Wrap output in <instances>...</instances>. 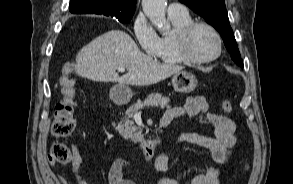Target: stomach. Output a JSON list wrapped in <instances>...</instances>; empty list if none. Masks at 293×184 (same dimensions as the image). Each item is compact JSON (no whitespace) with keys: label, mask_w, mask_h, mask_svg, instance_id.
Wrapping results in <instances>:
<instances>
[{"label":"stomach","mask_w":293,"mask_h":184,"mask_svg":"<svg viewBox=\"0 0 293 184\" xmlns=\"http://www.w3.org/2000/svg\"><path fill=\"white\" fill-rule=\"evenodd\" d=\"M198 81L190 72L180 71L172 77V85L176 92L191 93L197 87ZM133 92L129 86L124 84L114 85L110 90L111 99L118 104H125L130 101Z\"/></svg>","instance_id":"0dacf381"}]
</instances>
